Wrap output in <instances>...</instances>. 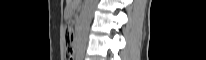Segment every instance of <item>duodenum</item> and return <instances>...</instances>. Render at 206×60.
<instances>
[{
	"label": "duodenum",
	"instance_id": "duodenum-1",
	"mask_svg": "<svg viewBox=\"0 0 206 60\" xmlns=\"http://www.w3.org/2000/svg\"><path fill=\"white\" fill-rule=\"evenodd\" d=\"M78 33H79V34H82V33H83V30H82V29H79V30H78Z\"/></svg>",
	"mask_w": 206,
	"mask_h": 60
}]
</instances>
